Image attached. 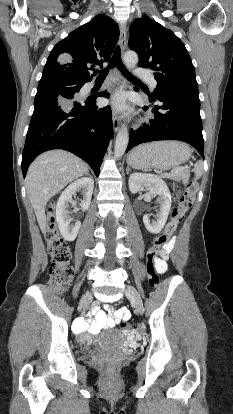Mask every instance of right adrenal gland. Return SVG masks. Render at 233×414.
Masks as SVG:
<instances>
[{
  "label": "right adrenal gland",
  "mask_w": 233,
  "mask_h": 414,
  "mask_svg": "<svg viewBox=\"0 0 233 414\" xmlns=\"http://www.w3.org/2000/svg\"><path fill=\"white\" fill-rule=\"evenodd\" d=\"M86 175H87V176H89V175H90L88 171H87Z\"/></svg>",
  "instance_id": "1"
}]
</instances>
